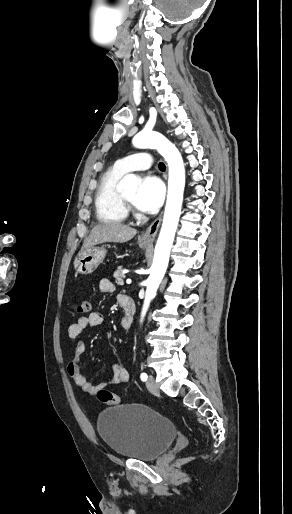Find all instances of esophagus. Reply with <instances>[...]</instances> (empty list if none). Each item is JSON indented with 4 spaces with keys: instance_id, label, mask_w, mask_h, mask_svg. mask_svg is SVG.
<instances>
[{
    "instance_id": "1",
    "label": "esophagus",
    "mask_w": 292,
    "mask_h": 514,
    "mask_svg": "<svg viewBox=\"0 0 292 514\" xmlns=\"http://www.w3.org/2000/svg\"><path fill=\"white\" fill-rule=\"evenodd\" d=\"M162 220V214L157 217V219L152 222L151 225L146 229V231L140 235V242L151 243L155 239L157 232L159 230L160 224Z\"/></svg>"
}]
</instances>
